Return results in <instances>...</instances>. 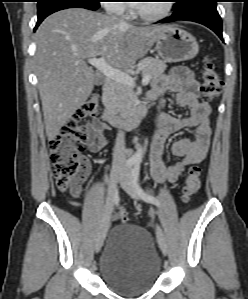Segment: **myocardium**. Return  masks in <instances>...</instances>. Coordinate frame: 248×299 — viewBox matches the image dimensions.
I'll return each mask as SVG.
<instances>
[{
  "mask_svg": "<svg viewBox=\"0 0 248 299\" xmlns=\"http://www.w3.org/2000/svg\"><path fill=\"white\" fill-rule=\"evenodd\" d=\"M163 2L164 3L162 6V9L156 13H146V12L140 11L139 6L135 5L133 7L134 14L144 21H148V22L160 21V20L168 17L171 14L173 7H174L171 0H164Z\"/></svg>",
  "mask_w": 248,
  "mask_h": 299,
  "instance_id": "1",
  "label": "myocardium"
}]
</instances>
